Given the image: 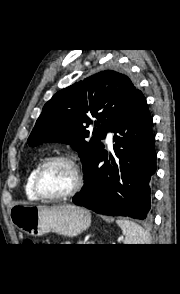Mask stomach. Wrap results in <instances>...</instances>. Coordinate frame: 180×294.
<instances>
[{"label":"stomach","instance_id":"stomach-1","mask_svg":"<svg viewBox=\"0 0 180 294\" xmlns=\"http://www.w3.org/2000/svg\"><path fill=\"white\" fill-rule=\"evenodd\" d=\"M10 217L15 227L35 237L50 232L74 237L91 224L88 210L69 204L53 207L15 205L10 211Z\"/></svg>","mask_w":180,"mask_h":294}]
</instances>
